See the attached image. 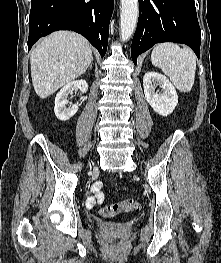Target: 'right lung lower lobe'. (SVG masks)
<instances>
[{
    "label": "right lung lower lobe",
    "mask_w": 221,
    "mask_h": 263,
    "mask_svg": "<svg viewBox=\"0 0 221 263\" xmlns=\"http://www.w3.org/2000/svg\"><path fill=\"white\" fill-rule=\"evenodd\" d=\"M113 4V0H32L28 50L42 36L72 30L88 39L103 57Z\"/></svg>",
    "instance_id": "obj_1"
}]
</instances>
